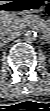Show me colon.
<instances>
[{
	"mask_svg": "<svg viewBox=\"0 0 50 111\" xmlns=\"http://www.w3.org/2000/svg\"><path fill=\"white\" fill-rule=\"evenodd\" d=\"M46 12L49 13L50 12V8L47 7Z\"/></svg>",
	"mask_w": 50,
	"mask_h": 111,
	"instance_id": "1",
	"label": "colon"
}]
</instances>
